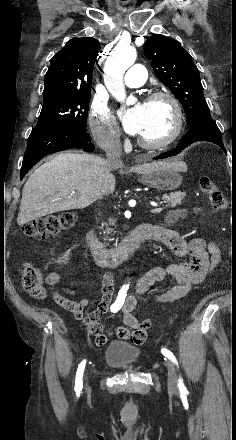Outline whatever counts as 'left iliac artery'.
Instances as JSON below:
<instances>
[{"label":"left iliac artery","instance_id":"44dca946","mask_svg":"<svg viewBox=\"0 0 236 440\" xmlns=\"http://www.w3.org/2000/svg\"><path fill=\"white\" fill-rule=\"evenodd\" d=\"M161 352H162V354H163L164 356H166L168 359H170L173 363H175L176 365H178L177 360H176L175 356L173 355V353H172L171 351H169V350L166 349V348H162V349H161ZM178 387H179V389H180L181 391L186 390V387H185V385H184V383H183V379H182L181 377H179V380H178Z\"/></svg>","mask_w":236,"mask_h":440}]
</instances>
